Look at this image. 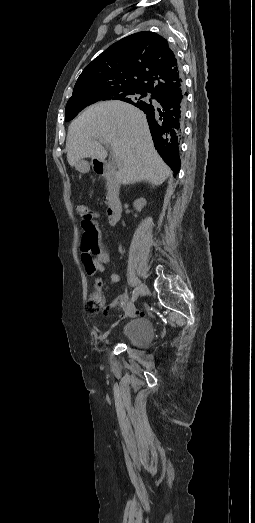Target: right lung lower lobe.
<instances>
[{"mask_svg":"<svg viewBox=\"0 0 255 523\" xmlns=\"http://www.w3.org/2000/svg\"><path fill=\"white\" fill-rule=\"evenodd\" d=\"M181 100L178 97H173L171 99L165 100V102H160L156 105L155 110L153 112L154 119L158 121H163L165 118L167 119L166 122H161L158 125V130L160 132L159 139L160 141L164 143L171 142L175 129L177 127V121L175 119L176 112L175 108L180 107ZM180 170V166L178 167V172ZM177 172V173H178Z\"/></svg>","mask_w":255,"mask_h":523,"instance_id":"1","label":"right lung lower lobe"}]
</instances>
